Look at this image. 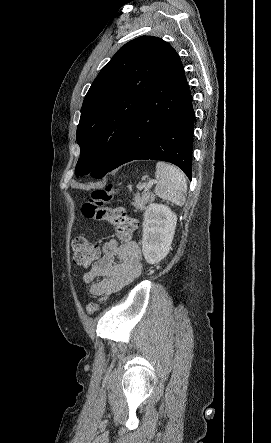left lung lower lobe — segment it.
<instances>
[{
	"mask_svg": "<svg viewBox=\"0 0 271 443\" xmlns=\"http://www.w3.org/2000/svg\"><path fill=\"white\" fill-rule=\"evenodd\" d=\"M143 108L133 118L109 172L132 160L173 163L191 180L195 112L176 53L152 82Z\"/></svg>",
	"mask_w": 271,
	"mask_h": 443,
	"instance_id": "obj_1",
	"label": "left lung lower lobe"
}]
</instances>
